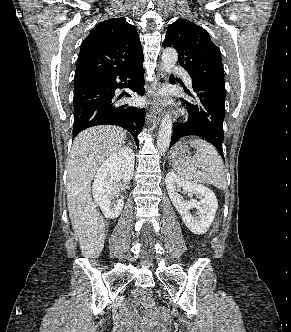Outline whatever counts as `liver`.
I'll return each instance as SVG.
<instances>
[{"instance_id": "liver-1", "label": "liver", "mask_w": 291, "mask_h": 332, "mask_svg": "<svg viewBox=\"0 0 291 332\" xmlns=\"http://www.w3.org/2000/svg\"><path fill=\"white\" fill-rule=\"evenodd\" d=\"M126 133L116 126H95L73 141L67 167V206L82 255L97 258L104 247L105 224L91 196V183L102 164L121 150Z\"/></svg>"}]
</instances>
